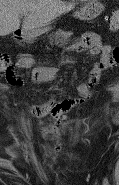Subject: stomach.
Returning a JSON list of instances; mask_svg holds the SVG:
<instances>
[{
  "instance_id": "0dacf381",
  "label": "stomach",
  "mask_w": 119,
  "mask_h": 185,
  "mask_svg": "<svg viewBox=\"0 0 119 185\" xmlns=\"http://www.w3.org/2000/svg\"><path fill=\"white\" fill-rule=\"evenodd\" d=\"M104 10V6L98 0H84V5L79 11L75 13V16L80 20H93ZM50 28H37L31 30H23L21 35L25 41H31L37 36L48 31Z\"/></svg>"
}]
</instances>
